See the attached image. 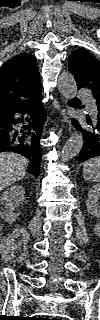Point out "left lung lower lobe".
<instances>
[{
  "instance_id": "obj_1",
  "label": "left lung lower lobe",
  "mask_w": 100,
  "mask_h": 320,
  "mask_svg": "<svg viewBox=\"0 0 100 320\" xmlns=\"http://www.w3.org/2000/svg\"><path fill=\"white\" fill-rule=\"evenodd\" d=\"M80 101L73 100L69 102L72 107H79ZM98 107V112L91 120L87 116V124L85 127L80 125L76 120H73L74 127L82 132L84 138L83 147L79 153V162H83L93 157L100 156V104L96 103Z\"/></svg>"
}]
</instances>
